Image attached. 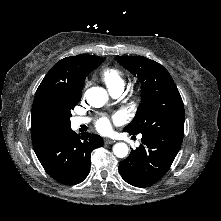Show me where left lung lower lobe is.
Returning a JSON list of instances; mask_svg holds the SVG:
<instances>
[{
  "label": "left lung lower lobe",
  "mask_w": 221,
  "mask_h": 221,
  "mask_svg": "<svg viewBox=\"0 0 221 221\" xmlns=\"http://www.w3.org/2000/svg\"><path fill=\"white\" fill-rule=\"evenodd\" d=\"M142 144L119 163V173L129 184L148 187L169 170L182 141L142 135Z\"/></svg>",
  "instance_id": "0a47b994"
}]
</instances>
